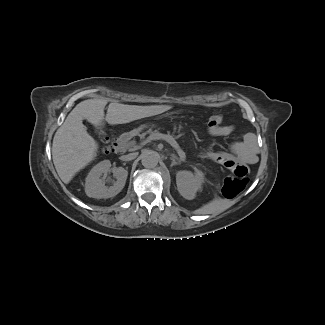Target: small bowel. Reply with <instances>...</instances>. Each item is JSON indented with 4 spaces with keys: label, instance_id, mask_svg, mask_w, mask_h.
Instances as JSON below:
<instances>
[{
    "label": "small bowel",
    "instance_id": "c3829d8e",
    "mask_svg": "<svg viewBox=\"0 0 325 325\" xmlns=\"http://www.w3.org/2000/svg\"><path fill=\"white\" fill-rule=\"evenodd\" d=\"M233 125L207 126V132L214 137H227L234 132ZM211 158L222 165H230L236 159L241 162H252L254 155L248 151L242 142H236L232 145L231 152L228 154H214Z\"/></svg>",
    "mask_w": 325,
    "mask_h": 325
}]
</instances>
